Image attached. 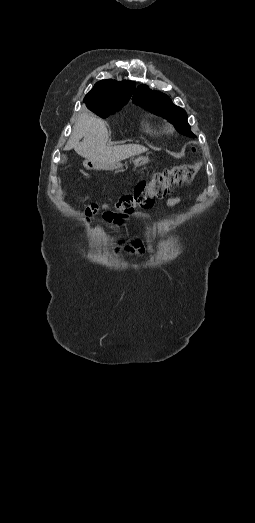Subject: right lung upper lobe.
Here are the masks:
<instances>
[{
    "label": "right lung upper lobe",
    "instance_id": "right-lung-upper-lobe-1",
    "mask_svg": "<svg viewBox=\"0 0 255 523\" xmlns=\"http://www.w3.org/2000/svg\"><path fill=\"white\" fill-rule=\"evenodd\" d=\"M134 88L135 83L132 81L101 80L85 96L83 102L87 107L95 104L128 102Z\"/></svg>",
    "mask_w": 255,
    "mask_h": 523
}]
</instances>
